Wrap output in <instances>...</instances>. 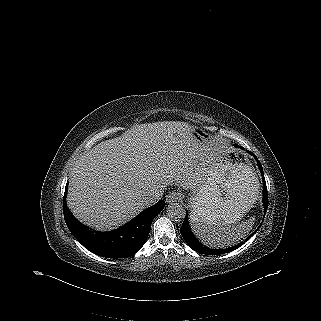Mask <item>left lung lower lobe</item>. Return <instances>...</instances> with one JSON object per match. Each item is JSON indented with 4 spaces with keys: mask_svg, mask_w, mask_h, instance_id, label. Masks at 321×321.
Returning <instances> with one entry per match:
<instances>
[{
    "mask_svg": "<svg viewBox=\"0 0 321 321\" xmlns=\"http://www.w3.org/2000/svg\"><path fill=\"white\" fill-rule=\"evenodd\" d=\"M251 154L254 156L253 153H251ZM254 157L257 160V164H258V167L260 169V172H261L262 178H263V204H264V208L266 211V209L268 207V193H267V187H266V182H265V178H264L263 168H262L259 160L257 159V157L256 156H254ZM180 233L191 249H193L196 252L206 254V255H218V254L227 253V252H230V251H233V250L239 248L241 245L244 244V242H242V243H239L238 245L230 247L228 249H210L206 246H203L190 230L187 213H186V217L184 219V222L180 228ZM254 233L252 235H250V237H248L246 239V241L249 240L254 235Z\"/></svg>",
    "mask_w": 321,
    "mask_h": 321,
    "instance_id": "obj_1",
    "label": "left lung lower lobe"
}]
</instances>
